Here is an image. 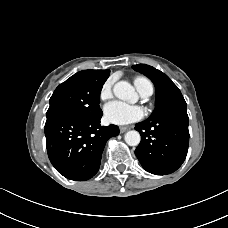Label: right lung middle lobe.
I'll return each mask as SVG.
<instances>
[{"mask_svg":"<svg viewBox=\"0 0 228 228\" xmlns=\"http://www.w3.org/2000/svg\"><path fill=\"white\" fill-rule=\"evenodd\" d=\"M109 74L110 70H101L90 77L75 74L60 84L50 98L47 121L62 116L93 117L101 113L100 93Z\"/></svg>","mask_w":228,"mask_h":228,"instance_id":"dd1d6c3e","label":"right lung middle lobe"}]
</instances>
